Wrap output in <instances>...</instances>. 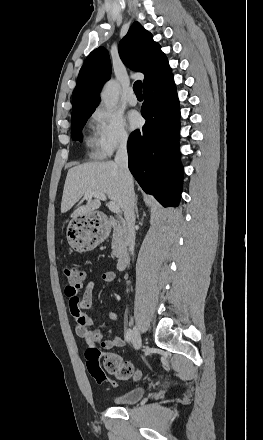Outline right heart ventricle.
Masks as SVG:
<instances>
[{"mask_svg":"<svg viewBox=\"0 0 263 440\" xmlns=\"http://www.w3.org/2000/svg\"><path fill=\"white\" fill-rule=\"evenodd\" d=\"M87 146H88L89 152L92 156H100L101 155L100 151L98 150V148L96 146L95 136L88 137Z\"/></svg>","mask_w":263,"mask_h":440,"instance_id":"1","label":"right heart ventricle"}]
</instances>
